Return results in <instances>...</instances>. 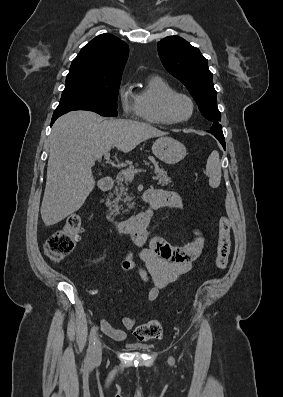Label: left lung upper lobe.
I'll list each match as a JSON object with an SVG mask.
<instances>
[{"mask_svg": "<svg viewBox=\"0 0 283 397\" xmlns=\"http://www.w3.org/2000/svg\"><path fill=\"white\" fill-rule=\"evenodd\" d=\"M157 48L167 71L187 87L202 115L214 121L210 131L223 135L222 126L218 123L221 113L217 107V92L207 59L199 49L178 36L164 38L158 42Z\"/></svg>", "mask_w": 283, "mask_h": 397, "instance_id": "1", "label": "left lung upper lobe"}]
</instances>
